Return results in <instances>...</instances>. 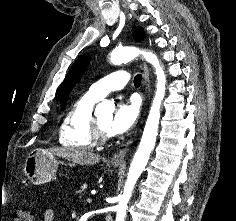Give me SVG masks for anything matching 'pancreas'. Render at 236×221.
<instances>
[{"instance_id":"cf45deb5","label":"pancreas","mask_w":236,"mask_h":221,"mask_svg":"<svg viewBox=\"0 0 236 221\" xmlns=\"http://www.w3.org/2000/svg\"><path fill=\"white\" fill-rule=\"evenodd\" d=\"M83 192H84L83 186H82L78 191H76V193H77V194H80V195H82Z\"/></svg>"}]
</instances>
